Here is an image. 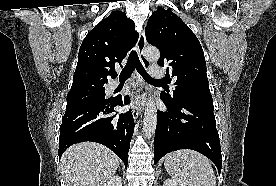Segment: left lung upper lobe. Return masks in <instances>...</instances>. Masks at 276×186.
<instances>
[{"instance_id": "obj_1", "label": "left lung upper lobe", "mask_w": 276, "mask_h": 186, "mask_svg": "<svg viewBox=\"0 0 276 186\" xmlns=\"http://www.w3.org/2000/svg\"><path fill=\"white\" fill-rule=\"evenodd\" d=\"M146 39L160 50V66L176 78L166 100L180 105L212 102L203 49L191 29L171 10L158 8L147 22Z\"/></svg>"}]
</instances>
